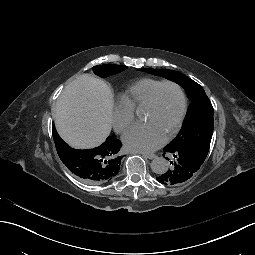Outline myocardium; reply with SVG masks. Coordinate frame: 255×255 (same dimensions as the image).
Instances as JSON below:
<instances>
[{"label":"myocardium","instance_id":"obj_1","mask_svg":"<svg viewBox=\"0 0 255 255\" xmlns=\"http://www.w3.org/2000/svg\"><path fill=\"white\" fill-rule=\"evenodd\" d=\"M167 85L175 87L178 90L180 99H181V107H180L179 116L176 121V125H175L174 129L172 130V132L168 135V137H166V142H169L178 134L179 130L181 129V126H182V123L184 120V116L186 113L187 100H186V95H185L183 88L175 81H172V80L162 81L160 84H158L153 89L148 101L146 102V104L144 105L143 108L144 109L152 108L155 104V101H156L159 91L161 90V88H163L164 86H167Z\"/></svg>","mask_w":255,"mask_h":255}]
</instances>
